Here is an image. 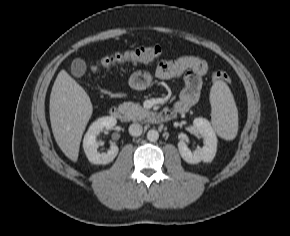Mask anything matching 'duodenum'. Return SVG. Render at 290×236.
Instances as JSON below:
<instances>
[{
	"mask_svg": "<svg viewBox=\"0 0 290 236\" xmlns=\"http://www.w3.org/2000/svg\"><path fill=\"white\" fill-rule=\"evenodd\" d=\"M181 112H183V111L179 110V109H165V110H162L160 112L155 113L153 116V120L156 123L168 122V121L174 119L176 117V115L178 113H181ZM109 113L113 118H115L117 120H120V121H127L128 120L127 114L119 106L111 107Z\"/></svg>",
	"mask_w": 290,
	"mask_h": 236,
	"instance_id": "410a0bca",
	"label": "duodenum"
}]
</instances>
